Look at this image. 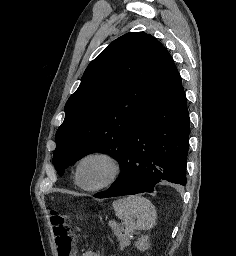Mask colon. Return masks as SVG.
<instances>
[{
  "label": "colon",
  "instance_id": "obj_1",
  "mask_svg": "<svg viewBox=\"0 0 236 256\" xmlns=\"http://www.w3.org/2000/svg\"><path fill=\"white\" fill-rule=\"evenodd\" d=\"M50 223L56 244L57 256H74L72 250L74 237L71 233L67 216L63 212L52 211Z\"/></svg>",
  "mask_w": 236,
  "mask_h": 256
}]
</instances>
